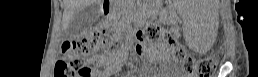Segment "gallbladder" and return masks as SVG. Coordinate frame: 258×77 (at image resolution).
Returning <instances> with one entry per match:
<instances>
[{
  "label": "gallbladder",
  "instance_id": "bac80fb5",
  "mask_svg": "<svg viewBox=\"0 0 258 77\" xmlns=\"http://www.w3.org/2000/svg\"><path fill=\"white\" fill-rule=\"evenodd\" d=\"M100 11L98 2L78 9L68 24V36L74 37L84 33L97 20Z\"/></svg>",
  "mask_w": 258,
  "mask_h": 77
}]
</instances>
